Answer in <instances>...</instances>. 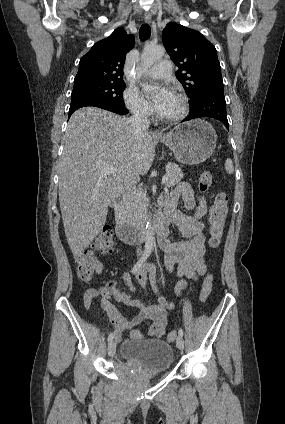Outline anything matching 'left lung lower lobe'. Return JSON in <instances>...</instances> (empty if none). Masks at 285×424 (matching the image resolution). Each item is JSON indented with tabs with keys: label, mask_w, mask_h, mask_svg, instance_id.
Instances as JSON below:
<instances>
[{
	"label": "left lung lower lobe",
	"mask_w": 285,
	"mask_h": 424,
	"mask_svg": "<svg viewBox=\"0 0 285 424\" xmlns=\"http://www.w3.org/2000/svg\"><path fill=\"white\" fill-rule=\"evenodd\" d=\"M200 117H211L221 121L229 130L226 114V102L222 89L211 90L201 94L190 104V114L183 121Z\"/></svg>",
	"instance_id": "1"
}]
</instances>
